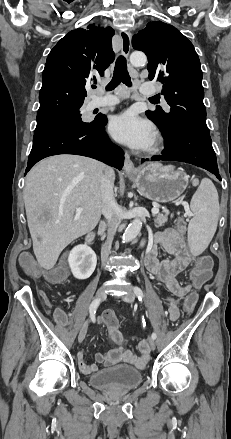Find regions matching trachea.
Here are the masks:
<instances>
[{"label":"trachea","instance_id":"3493384b","mask_svg":"<svg viewBox=\"0 0 231 439\" xmlns=\"http://www.w3.org/2000/svg\"><path fill=\"white\" fill-rule=\"evenodd\" d=\"M124 83L127 86H131V78L127 70L126 59L124 56H119L115 63L114 74L111 82L106 86L107 91L115 89L120 83ZM150 99L156 100V97Z\"/></svg>","mask_w":231,"mask_h":439}]
</instances>
